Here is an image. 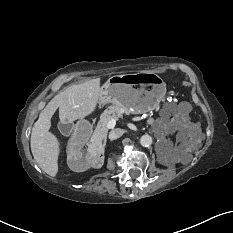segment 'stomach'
I'll return each mask as SVG.
<instances>
[{
  "label": "stomach",
  "instance_id": "obj_1",
  "mask_svg": "<svg viewBox=\"0 0 233 233\" xmlns=\"http://www.w3.org/2000/svg\"><path fill=\"white\" fill-rule=\"evenodd\" d=\"M166 92V83L154 72L114 75L103 84L100 103L142 114L157 109Z\"/></svg>",
  "mask_w": 233,
  "mask_h": 233
}]
</instances>
